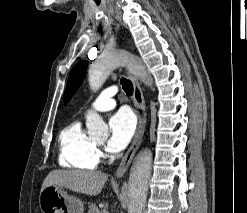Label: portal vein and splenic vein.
<instances>
[{"label":"portal vein and splenic vein","instance_id":"18ae733b","mask_svg":"<svg viewBox=\"0 0 247 213\" xmlns=\"http://www.w3.org/2000/svg\"><path fill=\"white\" fill-rule=\"evenodd\" d=\"M101 213H108V211L106 209H103Z\"/></svg>","mask_w":247,"mask_h":213}]
</instances>
